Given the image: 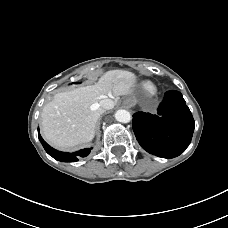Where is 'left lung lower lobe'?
<instances>
[{
  "mask_svg": "<svg viewBox=\"0 0 228 228\" xmlns=\"http://www.w3.org/2000/svg\"><path fill=\"white\" fill-rule=\"evenodd\" d=\"M132 127L141 147L150 154L173 158L189 146L195 122L180 92L165 93L158 114L137 112Z\"/></svg>",
  "mask_w": 228,
  "mask_h": 228,
  "instance_id": "1",
  "label": "left lung lower lobe"
}]
</instances>
